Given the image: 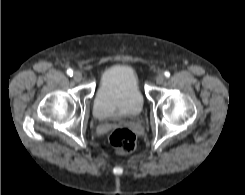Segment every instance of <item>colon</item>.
<instances>
[{
  "instance_id": "obj_1",
  "label": "colon",
  "mask_w": 245,
  "mask_h": 195,
  "mask_svg": "<svg viewBox=\"0 0 245 195\" xmlns=\"http://www.w3.org/2000/svg\"><path fill=\"white\" fill-rule=\"evenodd\" d=\"M108 140L114 151L119 155L132 152L136 146L135 134L126 128H118L112 131Z\"/></svg>"
}]
</instances>
